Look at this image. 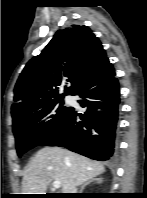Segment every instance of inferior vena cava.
I'll use <instances>...</instances> for the list:
<instances>
[{
	"label": "inferior vena cava",
	"mask_w": 147,
	"mask_h": 198,
	"mask_svg": "<svg viewBox=\"0 0 147 198\" xmlns=\"http://www.w3.org/2000/svg\"><path fill=\"white\" fill-rule=\"evenodd\" d=\"M71 193H77V189H76V187H73V188H72Z\"/></svg>",
	"instance_id": "obj_1"
}]
</instances>
